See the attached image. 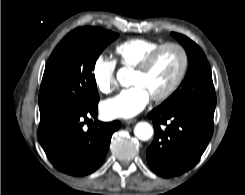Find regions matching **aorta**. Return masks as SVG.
Wrapping results in <instances>:
<instances>
[{"label":"aorta","instance_id":"1","mask_svg":"<svg viewBox=\"0 0 245 195\" xmlns=\"http://www.w3.org/2000/svg\"><path fill=\"white\" fill-rule=\"evenodd\" d=\"M125 71L122 69L117 73V79L121 84H124ZM135 136L142 140H149L153 135V128L147 122H138L134 127Z\"/></svg>","mask_w":245,"mask_h":195}]
</instances>
